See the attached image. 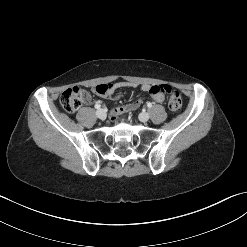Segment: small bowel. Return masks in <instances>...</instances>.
Listing matches in <instances>:
<instances>
[{"label":"small bowel","mask_w":247,"mask_h":247,"mask_svg":"<svg viewBox=\"0 0 247 247\" xmlns=\"http://www.w3.org/2000/svg\"><path fill=\"white\" fill-rule=\"evenodd\" d=\"M153 86L154 85H150V84L139 85L136 82H118V83H114V84H109L108 91L105 94H103L102 96H105L112 101H116L121 97V94L118 90L122 87H134V88L139 87L141 91L148 93L149 89H151ZM85 102L86 103L90 102V96L88 94L85 98ZM121 114H122V112H121Z\"/></svg>","instance_id":"1"}]
</instances>
